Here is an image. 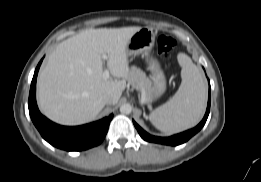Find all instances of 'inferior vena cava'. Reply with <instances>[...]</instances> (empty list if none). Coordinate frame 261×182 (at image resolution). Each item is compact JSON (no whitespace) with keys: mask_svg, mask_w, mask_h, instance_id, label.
Segmentation results:
<instances>
[{"mask_svg":"<svg viewBox=\"0 0 261 182\" xmlns=\"http://www.w3.org/2000/svg\"><path fill=\"white\" fill-rule=\"evenodd\" d=\"M104 104L106 105H109V104H112L113 102V99L110 95H105L103 98H102Z\"/></svg>","mask_w":261,"mask_h":182,"instance_id":"inferior-vena-cava-1","label":"inferior vena cava"}]
</instances>
